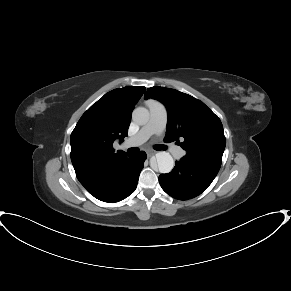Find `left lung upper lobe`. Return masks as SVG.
<instances>
[{
	"label": "left lung upper lobe",
	"instance_id": "5c2ea615",
	"mask_svg": "<svg viewBox=\"0 0 291 291\" xmlns=\"http://www.w3.org/2000/svg\"><path fill=\"white\" fill-rule=\"evenodd\" d=\"M161 101L167 108L166 141H179L185 158L221 166L226 140L220 119L200 100L180 91L148 88L145 99Z\"/></svg>",
	"mask_w": 291,
	"mask_h": 291
}]
</instances>
